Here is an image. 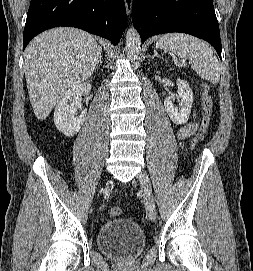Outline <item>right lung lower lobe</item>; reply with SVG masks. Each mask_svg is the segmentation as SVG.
I'll list each match as a JSON object with an SVG mask.
<instances>
[{
    "label": "right lung lower lobe",
    "instance_id": "right-lung-lower-lobe-1",
    "mask_svg": "<svg viewBox=\"0 0 253 271\" xmlns=\"http://www.w3.org/2000/svg\"><path fill=\"white\" fill-rule=\"evenodd\" d=\"M126 23L124 0H31L23 50L36 35L59 26L77 27L116 45Z\"/></svg>",
    "mask_w": 253,
    "mask_h": 271
}]
</instances>
